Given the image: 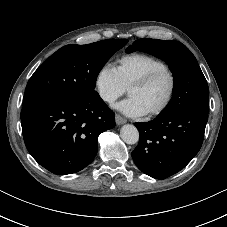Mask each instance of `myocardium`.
Returning a JSON list of instances; mask_svg holds the SVG:
<instances>
[{
	"label": "myocardium",
	"mask_w": 227,
	"mask_h": 227,
	"mask_svg": "<svg viewBox=\"0 0 227 227\" xmlns=\"http://www.w3.org/2000/svg\"><path fill=\"white\" fill-rule=\"evenodd\" d=\"M161 74H167L170 77V81H171L170 90H169L166 100L161 104V106H159L157 109L145 114V116L148 118H152V117L161 115L163 112H165L168 109V107L172 103L173 98L176 93V89H177V78H176L175 73L167 66L163 67V68H158L153 71H150L149 73H147L144 76L140 77L139 79L135 80L127 89L128 93H129V91L134 88L145 87Z\"/></svg>",
	"instance_id": "1"
}]
</instances>
